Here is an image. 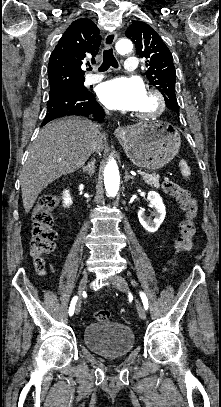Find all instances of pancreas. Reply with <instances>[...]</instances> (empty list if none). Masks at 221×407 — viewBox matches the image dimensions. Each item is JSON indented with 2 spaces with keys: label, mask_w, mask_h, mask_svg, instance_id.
<instances>
[{
  "label": "pancreas",
  "mask_w": 221,
  "mask_h": 407,
  "mask_svg": "<svg viewBox=\"0 0 221 407\" xmlns=\"http://www.w3.org/2000/svg\"><path fill=\"white\" fill-rule=\"evenodd\" d=\"M143 180L145 181L146 184L150 185L151 187L154 188H159L160 184H159V175L157 174H149V173H145L144 175H142Z\"/></svg>",
  "instance_id": "cf45deb5"
}]
</instances>
